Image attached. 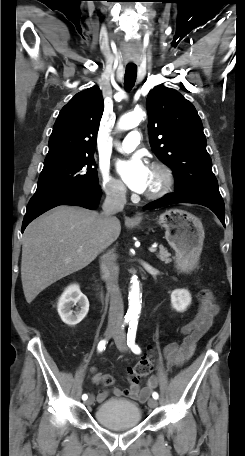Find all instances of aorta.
<instances>
[{"mask_svg":"<svg viewBox=\"0 0 245 456\" xmlns=\"http://www.w3.org/2000/svg\"><path fill=\"white\" fill-rule=\"evenodd\" d=\"M145 112L142 110H135L131 113L125 114L122 116L118 122V129L120 130H129L139 125V123L144 119ZM131 290L129 292L128 301L129 307L126 314L128 319H136L141 312V302H140V289L139 281L136 276L131 278Z\"/></svg>","mask_w":245,"mask_h":456,"instance_id":"obj_1","label":"aorta"}]
</instances>
